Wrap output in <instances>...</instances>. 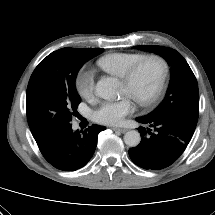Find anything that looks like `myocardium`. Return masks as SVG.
I'll return each mask as SVG.
<instances>
[{"instance_id":"1","label":"myocardium","mask_w":215,"mask_h":215,"mask_svg":"<svg viewBox=\"0 0 215 215\" xmlns=\"http://www.w3.org/2000/svg\"><path fill=\"white\" fill-rule=\"evenodd\" d=\"M148 61H156L160 65L161 72L158 84L150 96H148L147 98H133L139 105L144 107L152 106L161 97L169 75L168 61L159 54L144 55L137 62H135L121 78L124 84L130 85L135 79L141 67Z\"/></svg>"}]
</instances>
